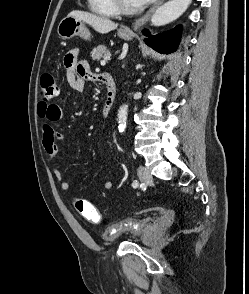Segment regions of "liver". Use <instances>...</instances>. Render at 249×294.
<instances>
[{"instance_id":"1","label":"liver","mask_w":249,"mask_h":294,"mask_svg":"<svg viewBox=\"0 0 249 294\" xmlns=\"http://www.w3.org/2000/svg\"><path fill=\"white\" fill-rule=\"evenodd\" d=\"M69 16L74 17L82 22L90 25L95 31L106 34L117 28L118 24L110 19L98 16L89 12L74 10L69 13Z\"/></svg>"}]
</instances>
